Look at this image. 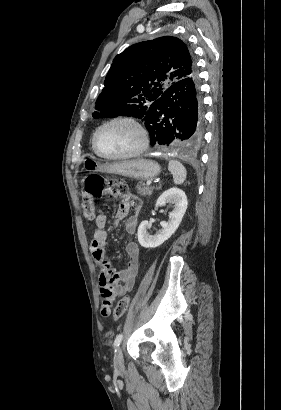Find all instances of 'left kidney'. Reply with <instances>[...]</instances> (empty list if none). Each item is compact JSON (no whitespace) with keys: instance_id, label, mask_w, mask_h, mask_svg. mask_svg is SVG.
Instances as JSON below:
<instances>
[{"instance_id":"1","label":"left kidney","mask_w":281,"mask_h":410,"mask_svg":"<svg viewBox=\"0 0 281 410\" xmlns=\"http://www.w3.org/2000/svg\"><path fill=\"white\" fill-rule=\"evenodd\" d=\"M166 203L173 204V210L169 213V220L161 222V229L154 235L147 231L148 221L144 220L138 227V241L144 248H155L168 240L177 230L187 209V197L179 188H170L163 192L156 201V208Z\"/></svg>"}]
</instances>
